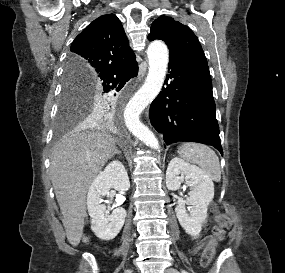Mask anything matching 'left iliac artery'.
<instances>
[{
    "label": "left iliac artery",
    "mask_w": 285,
    "mask_h": 273,
    "mask_svg": "<svg viewBox=\"0 0 285 273\" xmlns=\"http://www.w3.org/2000/svg\"><path fill=\"white\" fill-rule=\"evenodd\" d=\"M182 273H187V272H185V271H182Z\"/></svg>",
    "instance_id": "left-iliac-artery-1"
}]
</instances>
